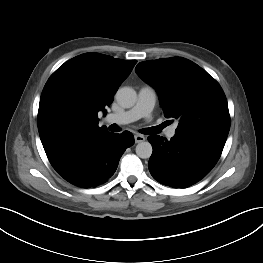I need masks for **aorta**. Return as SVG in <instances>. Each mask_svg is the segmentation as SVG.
<instances>
[{
    "label": "aorta",
    "instance_id": "762f6f07",
    "mask_svg": "<svg viewBox=\"0 0 263 263\" xmlns=\"http://www.w3.org/2000/svg\"><path fill=\"white\" fill-rule=\"evenodd\" d=\"M116 100L122 107L130 108L137 101L136 91L130 87H122L116 93ZM152 152V145L149 142L142 141L136 146V154L142 159L150 158Z\"/></svg>",
    "mask_w": 263,
    "mask_h": 263
}]
</instances>
